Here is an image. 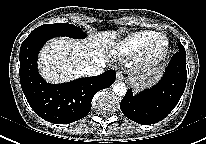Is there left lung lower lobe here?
Segmentation results:
<instances>
[{"mask_svg": "<svg viewBox=\"0 0 206 144\" xmlns=\"http://www.w3.org/2000/svg\"><path fill=\"white\" fill-rule=\"evenodd\" d=\"M187 81L186 52L179 43V51L171 58L161 80L136 95L128 89L120 103L122 113L142 125L163 120L179 102Z\"/></svg>", "mask_w": 206, "mask_h": 144, "instance_id": "0a47b994", "label": "left lung lower lobe"}]
</instances>
